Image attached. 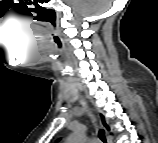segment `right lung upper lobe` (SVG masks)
<instances>
[{
  "instance_id": "1",
  "label": "right lung upper lobe",
  "mask_w": 158,
  "mask_h": 143,
  "mask_svg": "<svg viewBox=\"0 0 158 143\" xmlns=\"http://www.w3.org/2000/svg\"><path fill=\"white\" fill-rule=\"evenodd\" d=\"M102 123L104 124L105 127L108 128V126H107L106 123H105V120H104V117H103V116H102ZM108 129H109V128H108Z\"/></svg>"
}]
</instances>
